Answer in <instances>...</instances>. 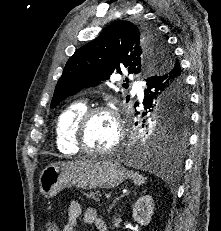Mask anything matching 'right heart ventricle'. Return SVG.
I'll list each match as a JSON object with an SVG mask.
<instances>
[{
	"label": "right heart ventricle",
	"instance_id": "obj_1",
	"mask_svg": "<svg viewBox=\"0 0 221 231\" xmlns=\"http://www.w3.org/2000/svg\"><path fill=\"white\" fill-rule=\"evenodd\" d=\"M87 109L84 102H74L67 106L58 116L55 125L56 145L66 155L79 152L74 144L75 124L79 116Z\"/></svg>",
	"mask_w": 221,
	"mask_h": 231
}]
</instances>
